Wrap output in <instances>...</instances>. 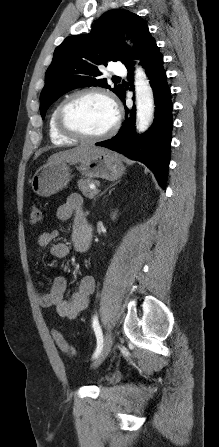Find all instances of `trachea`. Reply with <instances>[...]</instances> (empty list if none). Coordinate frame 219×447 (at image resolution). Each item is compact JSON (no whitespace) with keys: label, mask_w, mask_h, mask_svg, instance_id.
Segmentation results:
<instances>
[{"label":"trachea","mask_w":219,"mask_h":447,"mask_svg":"<svg viewBox=\"0 0 219 447\" xmlns=\"http://www.w3.org/2000/svg\"><path fill=\"white\" fill-rule=\"evenodd\" d=\"M114 79H120L119 77H114Z\"/></svg>","instance_id":"1"}]
</instances>
